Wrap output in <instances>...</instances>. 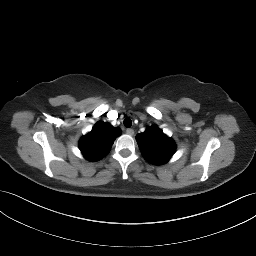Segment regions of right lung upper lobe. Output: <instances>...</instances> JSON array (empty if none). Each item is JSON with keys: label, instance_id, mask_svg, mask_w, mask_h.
Returning a JSON list of instances; mask_svg holds the SVG:
<instances>
[{"label": "right lung upper lobe", "instance_id": "obj_1", "mask_svg": "<svg viewBox=\"0 0 256 256\" xmlns=\"http://www.w3.org/2000/svg\"><path fill=\"white\" fill-rule=\"evenodd\" d=\"M120 133L119 128L107 122L98 121L92 131L81 138L79 148L87 160L98 161L109 152Z\"/></svg>", "mask_w": 256, "mask_h": 256}]
</instances>
